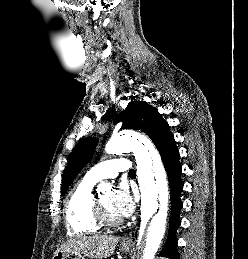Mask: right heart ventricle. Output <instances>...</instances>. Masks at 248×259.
<instances>
[{"instance_id": "1", "label": "right heart ventricle", "mask_w": 248, "mask_h": 259, "mask_svg": "<svg viewBox=\"0 0 248 259\" xmlns=\"http://www.w3.org/2000/svg\"><path fill=\"white\" fill-rule=\"evenodd\" d=\"M95 184V181L84 177L68 195L65 220L70 235L92 234L101 228L94 217L93 189Z\"/></svg>"}]
</instances>
